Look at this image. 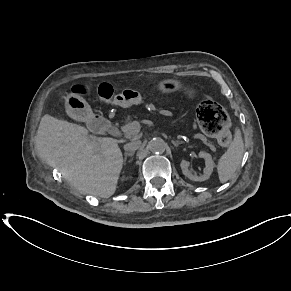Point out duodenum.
<instances>
[{"label": "duodenum", "mask_w": 291, "mask_h": 291, "mask_svg": "<svg viewBox=\"0 0 291 291\" xmlns=\"http://www.w3.org/2000/svg\"><path fill=\"white\" fill-rule=\"evenodd\" d=\"M89 125L94 131L101 133L111 128L110 122L100 115H93L89 120Z\"/></svg>", "instance_id": "obj_1"}]
</instances>
